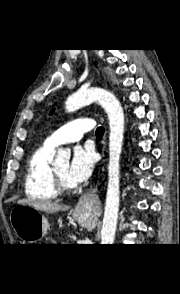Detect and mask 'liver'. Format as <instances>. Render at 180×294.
I'll return each instance as SVG.
<instances>
[{"instance_id": "obj_1", "label": "liver", "mask_w": 180, "mask_h": 294, "mask_svg": "<svg viewBox=\"0 0 180 294\" xmlns=\"http://www.w3.org/2000/svg\"><path fill=\"white\" fill-rule=\"evenodd\" d=\"M18 204L22 205H28L33 207L34 209L38 211H43L46 213H56L58 211H66L69 209L68 206L61 205L56 202H50V201H35L32 199H21L18 201Z\"/></svg>"}]
</instances>
